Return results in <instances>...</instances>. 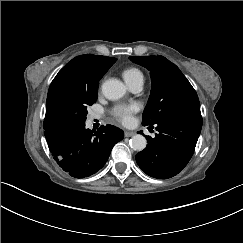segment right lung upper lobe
Masks as SVG:
<instances>
[{
  "mask_svg": "<svg viewBox=\"0 0 243 243\" xmlns=\"http://www.w3.org/2000/svg\"><path fill=\"white\" fill-rule=\"evenodd\" d=\"M116 58L101 55L86 54L73 58L68 62L53 79L47 100L54 90L62 83L79 80L86 83H99L107 70L116 62ZM50 127L44 125V129Z\"/></svg>",
  "mask_w": 243,
  "mask_h": 243,
  "instance_id": "obj_1",
  "label": "right lung upper lobe"
}]
</instances>
